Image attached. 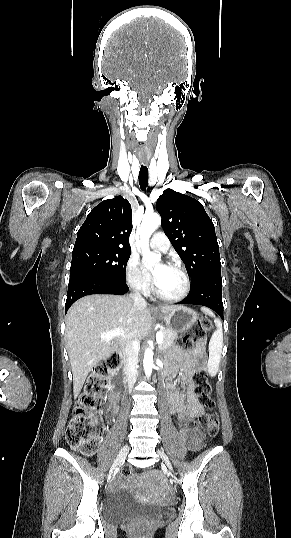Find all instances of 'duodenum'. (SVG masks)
<instances>
[{
    "label": "duodenum",
    "mask_w": 291,
    "mask_h": 538,
    "mask_svg": "<svg viewBox=\"0 0 291 538\" xmlns=\"http://www.w3.org/2000/svg\"><path fill=\"white\" fill-rule=\"evenodd\" d=\"M126 360L127 357L122 354L119 364L117 365V372H120L121 374H112L109 379V386L112 388L117 399L127 391L126 385L124 381H122L124 379L122 374L127 371ZM160 377H166V374H160Z\"/></svg>",
    "instance_id": "1"
}]
</instances>
